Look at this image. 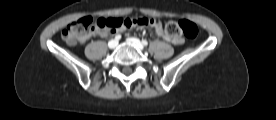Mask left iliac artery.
Segmentation results:
<instances>
[{
    "label": "left iliac artery",
    "instance_id": "44dca946",
    "mask_svg": "<svg viewBox=\"0 0 276 120\" xmlns=\"http://www.w3.org/2000/svg\"><path fill=\"white\" fill-rule=\"evenodd\" d=\"M142 44L145 45V46H147L148 45V41L143 39L142 40Z\"/></svg>",
    "mask_w": 276,
    "mask_h": 120
}]
</instances>
